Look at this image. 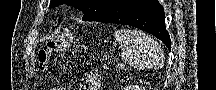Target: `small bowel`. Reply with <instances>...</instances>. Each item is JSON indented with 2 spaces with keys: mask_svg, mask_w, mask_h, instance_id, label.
I'll list each match as a JSON object with an SVG mask.
<instances>
[{
  "mask_svg": "<svg viewBox=\"0 0 216 90\" xmlns=\"http://www.w3.org/2000/svg\"><path fill=\"white\" fill-rule=\"evenodd\" d=\"M99 85H100V80L98 76L91 74L85 76L82 79L79 90H98ZM50 90H67V89L64 87H54L51 88Z\"/></svg>",
  "mask_w": 216,
  "mask_h": 90,
  "instance_id": "1",
  "label": "small bowel"
}]
</instances>
